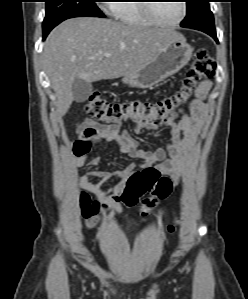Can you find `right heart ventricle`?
Masks as SVG:
<instances>
[{"label":"right heart ventricle","instance_id":"obj_1","mask_svg":"<svg viewBox=\"0 0 248 299\" xmlns=\"http://www.w3.org/2000/svg\"><path fill=\"white\" fill-rule=\"evenodd\" d=\"M139 0H124L110 5L114 17L122 24L129 26L150 27L155 25L146 15Z\"/></svg>","mask_w":248,"mask_h":299}]
</instances>
